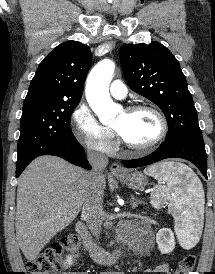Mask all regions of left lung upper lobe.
<instances>
[{
  "label": "left lung upper lobe",
  "instance_id": "obj_1",
  "mask_svg": "<svg viewBox=\"0 0 215 274\" xmlns=\"http://www.w3.org/2000/svg\"><path fill=\"white\" fill-rule=\"evenodd\" d=\"M120 60L129 87L154 102L168 122L166 140L203 142L186 78L174 55L162 44H125Z\"/></svg>",
  "mask_w": 215,
  "mask_h": 274
}]
</instances>
